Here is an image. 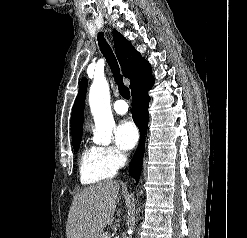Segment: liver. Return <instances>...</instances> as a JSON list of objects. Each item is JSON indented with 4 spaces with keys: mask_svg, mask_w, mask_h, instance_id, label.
<instances>
[{
    "mask_svg": "<svg viewBox=\"0 0 247 238\" xmlns=\"http://www.w3.org/2000/svg\"><path fill=\"white\" fill-rule=\"evenodd\" d=\"M118 194L119 184L108 181L75 195L68 215L67 238H100L113 217Z\"/></svg>",
    "mask_w": 247,
    "mask_h": 238,
    "instance_id": "liver-1",
    "label": "liver"
}]
</instances>
